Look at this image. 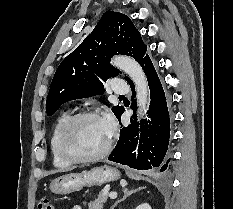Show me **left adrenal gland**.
Segmentation results:
<instances>
[{"mask_svg":"<svg viewBox=\"0 0 233 209\" xmlns=\"http://www.w3.org/2000/svg\"><path fill=\"white\" fill-rule=\"evenodd\" d=\"M140 189H141V188H138V189H135V190L124 189V190H123V192H124L123 198L120 199V200H118V201H116V202L114 203V205L111 207V209H114V208L117 206L118 203H120V202L126 200V198H127L128 196H130L131 194H134L135 192L139 191Z\"/></svg>","mask_w":233,"mask_h":209,"instance_id":"a2214340","label":"left adrenal gland"}]
</instances>
